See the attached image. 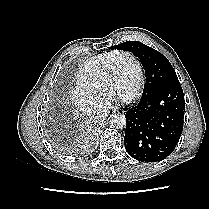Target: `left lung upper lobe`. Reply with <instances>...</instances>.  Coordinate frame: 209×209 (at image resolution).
I'll return each mask as SVG.
<instances>
[{"label":"left lung upper lobe","instance_id":"left-lung-upper-lobe-1","mask_svg":"<svg viewBox=\"0 0 209 209\" xmlns=\"http://www.w3.org/2000/svg\"><path fill=\"white\" fill-rule=\"evenodd\" d=\"M115 47L119 50L132 52L140 59L146 76L142 95L166 83L179 81L170 62L157 50L139 41H128Z\"/></svg>","mask_w":209,"mask_h":209}]
</instances>
